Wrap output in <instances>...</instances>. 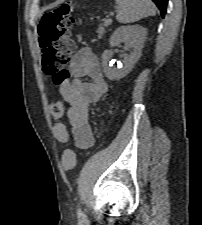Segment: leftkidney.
Wrapping results in <instances>:
<instances>
[{"label":"left kidney","mask_w":202,"mask_h":225,"mask_svg":"<svg viewBox=\"0 0 202 225\" xmlns=\"http://www.w3.org/2000/svg\"><path fill=\"white\" fill-rule=\"evenodd\" d=\"M147 36V29L139 25H128L117 28L110 37L109 43L114 47L122 42L126 48H131L133 51L130 55L124 56V64L122 66L113 67L109 60L113 53L110 50H105L102 54V66L106 77L110 80L121 79L125 77L133 68L135 63L141 57V51Z\"/></svg>","instance_id":"left-kidney-1"}]
</instances>
